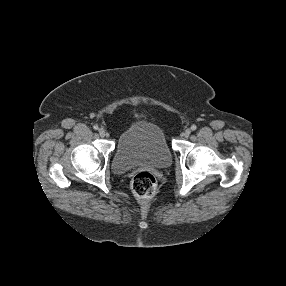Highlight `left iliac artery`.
<instances>
[{
	"label": "left iliac artery",
	"instance_id": "obj_1",
	"mask_svg": "<svg viewBox=\"0 0 286 286\" xmlns=\"http://www.w3.org/2000/svg\"><path fill=\"white\" fill-rule=\"evenodd\" d=\"M196 129H197V126H196V125H192V126H191V130H192V131H195Z\"/></svg>",
	"mask_w": 286,
	"mask_h": 286
}]
</instances>
